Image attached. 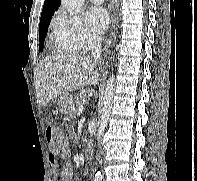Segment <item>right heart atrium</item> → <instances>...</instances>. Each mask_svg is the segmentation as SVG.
I'll return each instance as SVG.
<instances>
[{"mask_svg": "<svg viewBox=\"0 0 197 181\" xmlns=\"http://www.w3.org/2000/svg\"><path fill=\"white\" fill-rule=\"evenodd\" d=\"M56 21L77 52H88L98 44L99 36L89 28L82 17L60 11Z\"/></svg>", "mask_w": 197, "mask_h": 181, "instance_id": "1", "label": "right heart atrium"}]
</instances>
